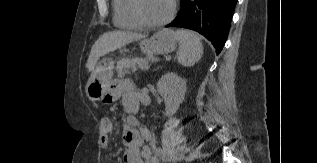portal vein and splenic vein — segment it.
Segmentation results:
<instances>
[{
  "instance_id": "obj_1",
  "label": "portal vein and splenic vein",
  "mask_w": 317,
  "mask_h": 163,
  "mask_svg": "<svg viewBox=\"0 0 317 163\" xmlns=\"http://www.w3.org/2000/svg\"><path fill=\"white\" fill-rule=\"evenodd\" d=\"M148 68H149V67H146V66H145V67H142V69H148Z\"/></svg>"
}]
</instances>
